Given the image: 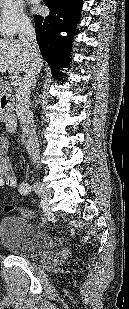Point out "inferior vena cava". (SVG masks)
Wrapping results in <instances>:
<instances>
[{"label":"inferior vena cava","instance_id":"602c4592","mask_svg":"<svg viewBox=\"0 0 129 309\" xmlns=\"http://www.w3.org/2000/svg\"><path fill=\"white\" fill-rule=\"evenodd\" d=\"M20 42L26 47L30 67L25 72L22 82L16 91V112L21 125L28 134V152L36 161L39 156L38 139L34 130L33 115L30 110L31 87L37 82L41 70V55L36 41L35 28L30 21H24L19 33Z\"/></svg>","mask_w":129,"mask_h":309}]
</instances>
